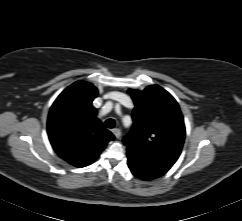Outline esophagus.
<instances>
[{
    "label": "esophagus",
    "mask_w": 242,
    "mask_h": 221,
    "mask_svg": "<svg viewBox=\"0 0 242 221\" xmlns=\"http://www.w3.org/2000/svg\"><path fill=\"white\" fill-rule=\"evenodd\" d=\"M112 132H113V134L115 135L116 138L121 137V130L120 129H113Z\"/></svg>",
    "instance_id": "esophagus-1"
}]
</instances>
